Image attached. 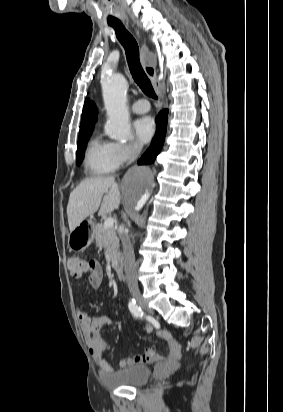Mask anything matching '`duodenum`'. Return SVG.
I'll return each mask as SVG.
<instances>
[{"label": "duodenum", "instance_id": "obj_1", "mask_svg": "<svg viewBox=\"0 0 283 412\" xmlns=\"http://www.w3.org/2000/svg\"><path fill=\"white\" fill-rule=\"evenodd\" d=\"M112 267L115 271V274L119 280H123L124 278V266L123 260L121 257H116L113 259Z\"/></svg>", "mask_w": 283, "mask_h": 412}]
</instances>
